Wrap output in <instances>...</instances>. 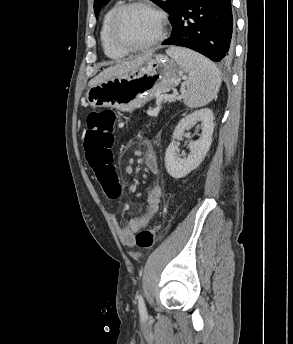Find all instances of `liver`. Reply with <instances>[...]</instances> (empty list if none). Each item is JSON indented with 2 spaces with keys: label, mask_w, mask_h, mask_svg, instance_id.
I'll return each instance as SVG.
<instances>
[{
  "label": "liver",
  "mask_w": 293,
  "mask_h": 344,
  "mask_svg": "<svg viewBox=\"0 0 293 344\" xmlns=\"http://www.w3.org/2000/svg\"><path fill=\"white\" fill-rule=\"evenodd\" d=\"M150 55H152V52H147L135 57L134 59L120 61L113 66L107 67L96 77L91 79L88 83V86L91 88L114 77L128 74L138 69Z\"/></svg>",
  "instance_id": "1"
}]
</instances>
